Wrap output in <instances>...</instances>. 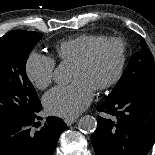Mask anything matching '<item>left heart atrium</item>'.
Masks as SVG:
<instances>
[{"label":"left heart atrium","instance_id":"1","mask_svg":"<svg viewBox=\"0 0 155 155\" xmlns=\"http://www.w3.org/2000/svg\"><path fill=\"white\" fill-rule=\"evenodd\" d=\"M94 90L83 81H75L67 86H57L44 96L48 113L63 117L78 116L92 101Z\"/></svg>","mask_w":155,"mask_h":155}]
</instances>
